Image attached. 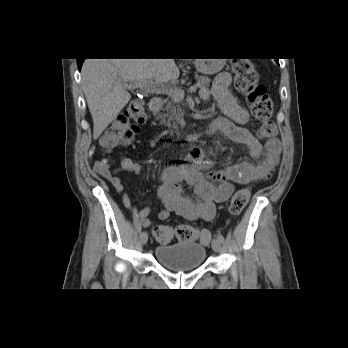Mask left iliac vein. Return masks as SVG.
<instances>
[{
    "label": "left iliac vein",
    "instance_id": "1",
    "mask_svg": "<svg viewBox=\"0 0 348 348\" xmlns=\"http://www.w3.org/2000/svg\"><path fill=\"white\" fill-rule=\"evenodd\" d=\"M212 249L217 253L221 251V242L218 239L212 241Z\"/></svg>",
    "mask_w": 348,
    "mask_h": 348
}]
</instances>
